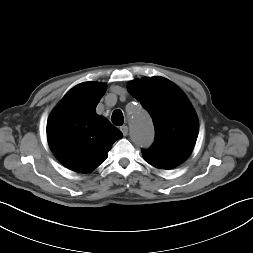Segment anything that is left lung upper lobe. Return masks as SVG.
Here are the masks:
<instances>
[{
  "mask_svg": "<svg viewBox=\"0 0 253 253\" xmlns=\"http://www.w3.org/2000/svg\"><path fill=\"white\" fill-rule=\"evenodd\" d=\"M128 91L148 110L155 126V142L142 151L144 160L161 169L185 161L194 148L199 125L184 93L163 77L130 81Z\"/></svg>",
  "mask_w": 253,
  "mask_h": 253,
  "instance_id": "1",
  "label": "left lung upper lobe"
}]
</instances>
